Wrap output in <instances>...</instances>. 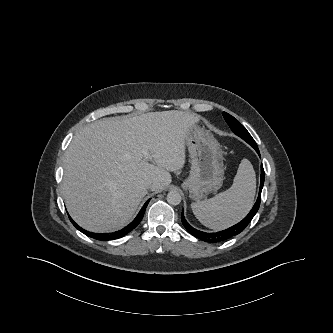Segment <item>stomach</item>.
<instances>
[{"mask_svg":"<svg viewBox=\"0 0 333 333\" xmlns=\"http://www.w3.org/2000/svg\"><path fill=\"white\" fill-rule=\"evenodd\" d=\"M186 145L191 158V170L183 187L191 199L199 201L222 186L223 151L213 135L199 125L190 129Z\"/></svg>","mask_w":333,"mask_h":333,"instance_id":"1","label":"stomach"}]
</instances>
